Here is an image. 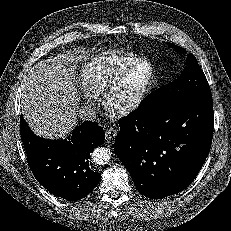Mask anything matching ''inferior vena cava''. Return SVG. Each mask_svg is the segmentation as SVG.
I'll return each instance as SVG.
<instances>
[{
    "instance_id": "inferior-vena-cava-1",
    "label": "inferior vena cava",
    "mask_w": 231,
    "mask_h": 231,
    "mask_svg": "<svg viewBox=\"0 0 231 231\" xmlns=\"http://www.w3.org/2000/svg\"><path fill=\"white\" fill-rule=\"evenodd\" d=\"M78 117L83 121L94 120L96 112L91 106H82L78 111Z\"/></svg>"
}]
</instances>
